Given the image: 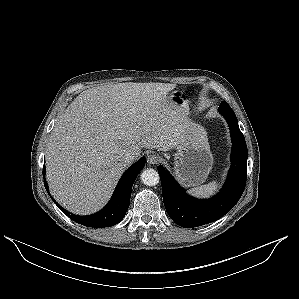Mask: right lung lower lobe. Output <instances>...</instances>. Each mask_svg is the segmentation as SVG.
Here are the masks:
<instances>
[{"instance_id": "obj_1", "label": "right lung lower lobe", "mask_w": 299, "mask_h": 299, "mask_svg": "<svg viewBox=\"0 0 299 299\" xmlns=\"http://www.w3.org/2000/svg\"><path fill=\"white\" fill-rule=\"evenodd\" d=\"M145 165V157L134 163L120 178L109 203L98 213L88 216H78L69 213L62 208L51 196L54 203L73 221L91 228H103L119 223L126 214L129 207L132 185L136 176ZM44 185L48 191V184L45 180V167H43ZM50 195V193H49Z\"/></svg>"}]
</instances>
